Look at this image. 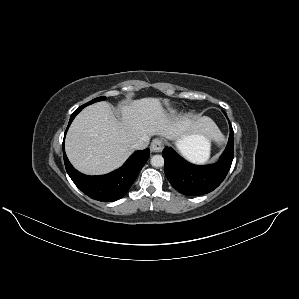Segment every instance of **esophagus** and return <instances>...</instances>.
<instances>
[{
  "label": "esophagus",
  "instance_id": "1",
  "mask_svg": "<svg viewBox=\"0 0 299 299\" xmlns=\"http://www.w3.org/2000/svg\"><path fill=\"white\" fill-rule=\"evenodd\" d=\"M163 149V140L160 138H155L151 143L152 152H161Z\"/></svg>",
  "mask_w": 299,
  "mask_h": 299
}]
</instances>
